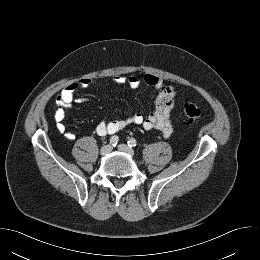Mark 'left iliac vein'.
<instances>
[{"label":"left iliac vein","instance_id":"1","mask_svg":"<svg viewBox=\"0 0 260 260\" xmlns=\"http://www.w3.org/2000/svg\"><path fill=\"white\" fill-rule=\"evenodd\" d=\"M118 149H119L120 151L124 152V153H127V154L130 155V156H133V155H134L133 149H131L130 147H128V146L125 145V144H120V145L118 146Z\"/></svg>","mask_w":260,"mask_h":260}]
</instances>
